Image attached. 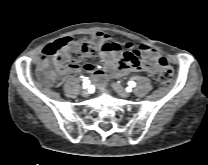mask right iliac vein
<instances>
[{
    "mask_svg": "<svg viewBox=\"0 0 208 165\" xmlns=\"http://www.w3.org/2000/svg\"><path fill=\"white\" fill-rule=\"evenodd\" d=\"M82 96H83V97L89 96V90H88V89H84V90L82 91Z\"/></svg>",
    "mask_w": 208,
    "mask_h": 165,
    "instance_id": "right-iliac-vein-1",
    "label": "right iliac vein"
}]
</instances>
